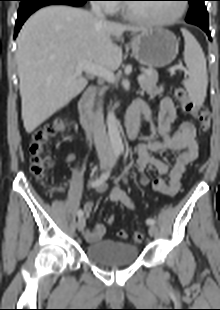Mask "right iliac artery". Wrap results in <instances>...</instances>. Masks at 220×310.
Returning a JSON list of instances; mask_svg holds the SVG:
<instances>
[{
  "label": "right iliac artery",
  "mask_w": 220,
  "mask_h": 310,
  "mask_svg": "<svg viewBox=\"0 0 220 310\" xmlns=\"http://www.w3.org/2000/svg\"><path fill=\"white\" fill-rule=\"evenodd\" d=\"M120 154V150L119 149H115L114 150V155L117 158ZM111 169H108L106 172H104L103 174H101V176L93 181L90 182V186L91 187H97L100 184H102L103 182H105L109 175H110ZM78 217H82L83 216V211L80 209L77 212Z\"/></svg>",
  "instance_id": "obj_1"
}]
</instances>
